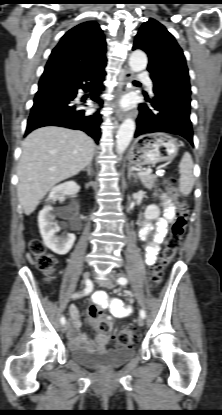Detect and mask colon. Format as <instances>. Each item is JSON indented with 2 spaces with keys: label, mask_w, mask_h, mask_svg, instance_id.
Returning a JSON list of instances; mask_svg holds the SVG:
<instances>
[{
  "label": "colon",
  "mask_w": 222,
  "mask_h": 415,
  "mask_svg": "<svg viewBox=\"0 0 222 415\" xmlns=\"http://www.w3.org/2000/svg\"><path fill=\"white\" fill-rule=\"evenodd\" d=\"M166 188L175 200L176 214L169 229V234L161 256L150 271L149 280L152 286H157L161 282L164 271L174 259L185 233L189 215L188 203L185 197L180 194L176 186L171 181L166 180ZM29 249L36 257V266L46 274H51L55 261L51 255L45 253L43 244L38 240H31ZM87 315L90 323L97 332L102 334L113 333L111 343L113 349L132 344L140 338L136 330L112 332L109 323L102 318L101 310L95 305L88 308Z\"/></svg>",
  "instance_id": "5ec220e1"
}]
</instances>
